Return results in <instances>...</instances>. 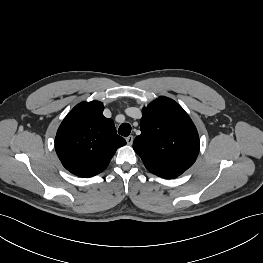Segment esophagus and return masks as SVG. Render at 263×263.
I'll return each instance as SVG.
<instances>
[{"label": "esophagus", "instance_id": "34e87169", "mask_svg": "<svg viewBox=\"0 0 263 263\" xmlns=\"http://www.w3.org/2000/svg\"><path fill=\"white\" fill-rule=\"evenodd\" d=\"M134 141V137L132 135L126 137V142L128 145H132Z\"/></svg>", "mask_w": 263, "mask_h": 263}]
</instances>
